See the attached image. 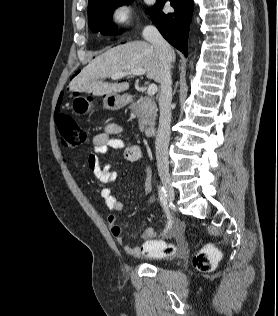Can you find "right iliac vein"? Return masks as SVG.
Returning <instances> with one entry per match:
<instances>
[{"mask_svg":"<svg viewBox=\"0 0 278 316\" xmlns=\"http://www.w3.org/2000/svg\"><path fill=\"white\" fill-rule=\"evenodd\" d=\"M160 178H161L162 184L166 190L168 200L170 202H172L175 198V192H174V188L171 184V178L167 173H161Z\"/></svg>","mask_w":278,"mask_h":316,"instance_id":"right-iliac-vein-1","label":"right iliac vein"}]
</instances>
